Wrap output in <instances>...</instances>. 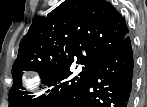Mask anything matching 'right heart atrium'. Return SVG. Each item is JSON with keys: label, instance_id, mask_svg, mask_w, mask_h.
<instances>
[{"label": "right heart atrium", "instance_id": "1", "mask_svg": "<svg viewBox=\"0 0 147 107\" xmlns=\"http://www.w3.org/2000/svg\"><path fill=\"white\" fill-rule=\"evenodd\" d=\"M37 84H38L37 80H34V79L29 80V81L27 82V86H28L31 90L35 89V88L37 87Z\"/></svg>", "mask_w": 147, "mask_h": 107}]
</instances>
